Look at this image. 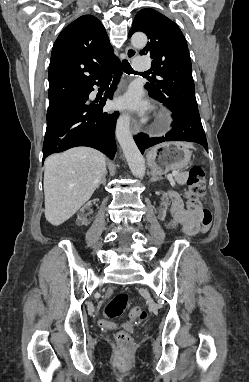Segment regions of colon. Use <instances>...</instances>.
Listing matches in <instances>:
<instances>
[{"mask_svg": "<svg viewBox=\"0 0 249 382\" xmlns=\"http://www.w3.org/2000/svg\"><path fill=\"white\" fill-rule=\"evenodd\" d=\"M188 192L186 194L187 209L192 211H200L202 213V231H207L212 224V212L208 208L201 205V198L205 194V173L200 166H194L189 171L187 179ZM128 303V295L125 292H120L112 297L104 307V319L101 321L102 329H115L117 324L111 322L115 318L120 317L126 309ZM131 318L136 321H145L148 318L147 312L135 307L131 311ZM116 341L123 347L132 346V338L126 331H119L116 334Z\"/></svg>", "mask_w": 249, "mask_h": 382, "instance_id": "colon-1", "label": "colon"}]
</instances>
